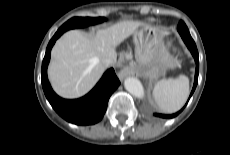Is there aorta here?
I'll use <instances>...</instances> for the list:
<instances>
[{
  "mask_svg": "<svg viewBox=\"0 0 230 155\" xmlns=\"http://www.w3.org/2000/svg\"><path fill=\"white\" fill-rule=\"evenodd\" d=\"M125 89L133 96L142 99L144 97V88L139 79L128 77L124 81Z\"/></svg>",
  "mask_w": 230,
  "mask_h": 155,
  "instance_id": "1",
  "label": "aorta"
}]
</instances>
